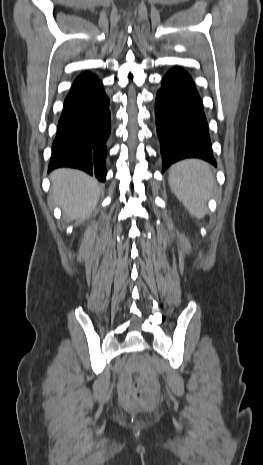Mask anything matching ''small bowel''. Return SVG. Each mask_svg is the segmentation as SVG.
<instances>
[{
    "mask_svg": "<svg viewBox=\"0 0 263 465\" xmlns=\"http://www.w3.org/2000/svg\"><path fill=\"white\" fill-rule=\"evenodd\" d=\"M136 370L135 364H130L127 369L122 374L120 384H119V392L120 396L125 402L130 401L131 393H132V372Z\"/></svg>",
    "mask_w": 263,
    "mask_h": 465,
    "instance_id": "c3829d8e",
    "label": "small bowel"
}]
</instances>
